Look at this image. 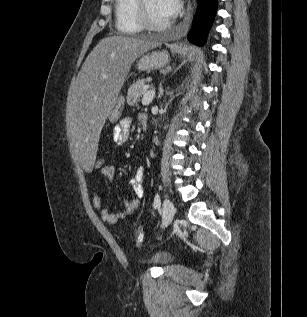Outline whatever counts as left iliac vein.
Instances as JSON below:
<instances>
[{
    "label": "left iliac vein",
    "instance_id": "obj_1",
    "mask_svg": "<svg viewBox=\"0 0 307 317\" xmlns=\"http://www.w3.org/2000/svg\"><path fill=\"white\" fill-rule=\"evenodd\" d=\"M176 209L171 200L165 199L163 202V218H162V226H168L174 218Z\"/></svg>",
    "mask_w": 307,
    "mask_h": 317
}]
</instances>
